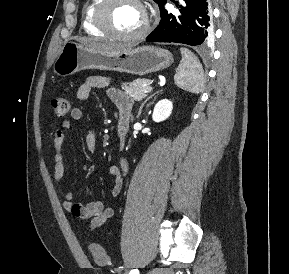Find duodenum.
I'll list each match as a JSON object with an SVG mask.
<instances>
[{
	"mask_svg": "<svg viewBox=\"0 0 289 274\" xmlns=\"http://www.w3.org/2000/svg\"><path fill=\"white\" fill-rule=\"evenodd\" d=\"M130 123V114L126 112H121L119 114L118 124H117V134L119 139L122 141L125 139L128 132Z\"/></svg>",
	"mask_w": 289,
	"mask_h": 274,
	"instance_id": "duodenum-1",
	"label": "duodenum"
}]
</instances>
